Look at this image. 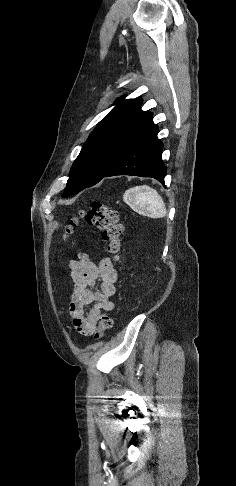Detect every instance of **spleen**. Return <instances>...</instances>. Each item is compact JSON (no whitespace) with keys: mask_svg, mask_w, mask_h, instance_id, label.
<instances>
[{"mask_svg":"<svg viewBox=\"0 0 236 486\" xmlns=\"http://www.w3.org/2000/svg\"><path fill=\"white\" fill-rule=\"evenodd\" d=\"M123 200L135 212L151 218H162L167 214L165 203L158 192L147 186H135L125 191Z\"/></svg>","mask_w":236,"mask_h":486,"instance_id":"3e777b00","label":"spleen"}]
</instances>
